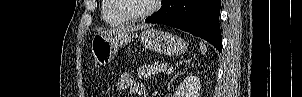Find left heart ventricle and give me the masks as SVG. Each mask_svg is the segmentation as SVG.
Masks as SVG:
<instances>
[{"mask_svg":"<svg viewBox=\"0 0 302 97\" xmlns=\"http://www.w3.org/2000/svg\"><path fill=\"white\" fill-rule=\"evenodd\" d=\"M151 3L152 0H122L124 9L132 14H140L145 12Z\"/></svg>","mask_w":302,"mask_h":97,"instance_id":"b2bd125f","label":"left heart ventricle"}]
</instances>
